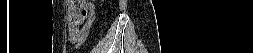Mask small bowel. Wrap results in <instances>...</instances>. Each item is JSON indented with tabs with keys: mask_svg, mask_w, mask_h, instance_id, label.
I'll return each mask as SVG.
<instances>
[{
	"mask_svg": "<svg viewBox=\"0 0 253 53\" xmlns=\"http://www.w3.org/2000/svg\"><path fill=\"white\" fill-rule=\"evenodd\" d=\"M87 5L91 9V14L88 18V22L81 28H75L71 26L68 27L69 40L72 44L77 46L81 45L85 41L95 20L93 5L91 3H88Z\"/></svg>",
	"mask_w": 253,
	"mask_h": 53,
	"instance_id": "obj_1",
	"label": "small bowel"
}]
</instances>
